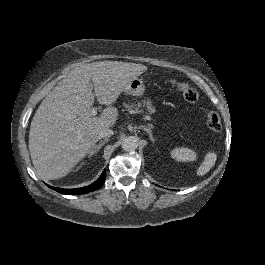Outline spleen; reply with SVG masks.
<instances>
[{
  "instance_id": "spleen-1",
  "label": "spleen",
  "mask_w": 265,
  "mask_h": 265,
  "mask_svg": "<svg viewBox=\"0 0 265 265\" xmlns=\"http://www.w3.org/2000/svg\"><path fill=\"white\" fill-rule=\"evenodd\" d=\"M172 156L181 161L185 159L193 160L195 157L194 152L188 148H176L172 151ZM215 161L216 155L208 154L206 160L200 166L198 174L203 175L207 173L213 167Z\"/></svg>"
}]
</instances>
